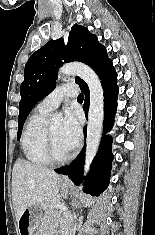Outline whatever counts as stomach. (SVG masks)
<instances>
[{
    "instance_id": "obj_1",
    "label": "stomach",
    "mask_w": 155,
    "mask_h": 235,
    "mask_svg": "<svg viewBox=\"0 0 155 235\" xmlns=\"http://www.w3.org/2000/svg\"><path fill=\"white\" fill-rule=\"evenodd\" d=\"M59 187L62 194L67 195L70 191L71 184L60 182ZM43 209V204H36L25 209L18 221L19 235H39Z\"/></svg>"
}]
</instances>
